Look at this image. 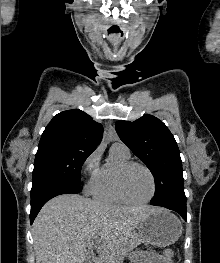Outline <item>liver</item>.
<instances>
[{
  "label": "liver",
  "instance_id": "6515ba94",
  "mask_svg": "<svg viewBox=\"0 0 220 263\" xmlns=\"http://www.w3.org/2000/svg\"><path fill=\"white\" fill-rule=\"evenodd\" d=\"M157 209L59 195L41 208L33 223L36 263H86L94 238H98L97 263H118V250L127 237Z\"/></svg>",
  "mask_w": 220,
  "mask_h": 263
}]
</instances>
